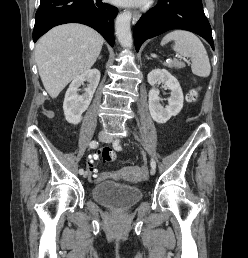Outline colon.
<instances>
[{
  "label": "colon",
  "mask_w": 248,
  "mask_h": 258,
  "mask_svg": "<svg viewBox=\"0 0 248 258\" xmlns=\"http://www.w3.org/2000/svg\"><path fill=\"white\" fill-rule=\"evenodd\" d=\"M198 96V91L193 89L189 92L187 96V100L189 102H195ZM101 156L105 161H110L114 159L115 154L111 150L110 146L106 144H101L99 151H93L92 155H87L85 158V173L87 175H98V167H99V160H101Z\"/></svg>",
  "instance_id": "colon-1"
}]
</instances>
